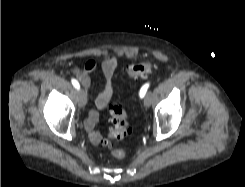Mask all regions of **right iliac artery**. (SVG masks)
<instances>
[{
	"instance_id": "1",
	"label": "right iliac artery",
	"mask_w": 245,
	"mask_h": 187,
	"mask_svg": "<svg viewBox=\"0 0 245 187\" xmlns=\"http://www.w3.org/2000/svg\"><path fill=\"white\" fill-rule=\"evenodd\" d=\"M71 82H72L73 86H74V87H75L77 90H79V89H80V85H79V83H78V81H77V80L72 79V80H71Z\"/></svg>"
}]
</instances>
